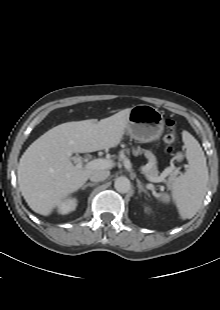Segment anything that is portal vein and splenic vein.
Instances as JSON below:
<instances>
[{
	"label": "portal vein and splenic vein",
	"instance_id": "1",
	"mask_svg": "<svg viewBox=\"0 0 220 310\" xmlns=\"http://www.w3.org/2000/svg\"><path fill=\"white\" fill-rule=\"evenodd\" d=\"M72 160L74 161V163H76V165L78 167H82L83 165V160L81 157H72ZM113 165L111 160H107V159H94L92 161H89L85 164V168L86 169H107V168H111ZM173 170V167H169L165 170L164 175L163 176H159V177H150L147 176V179L151 182H162L164 181V177L165 175H167L169 172H171ZM178 172L176 171V174Z\"/></svg>",
	"mask_w": 220,
	"mask_h": 310
}]
</instances>
